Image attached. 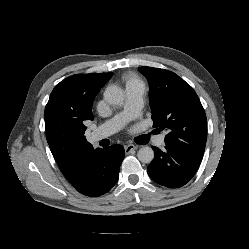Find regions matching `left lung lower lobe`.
<instances>
[{
  "instance_id": "obj_1",
  "label": "left lung lower lobe",
  "mask_w": 249,
  "mask_h": 249,
  "mask_svg": "<svg viewBox=\"0 0 249 249\" xmlns=\"http://www.w3.org/2000/svg\"><path fill=\"white\" fill-rule=\"evenodd\" d=\"M155 158L148 166V174L160 185L177 188L185 185L196 173L202 159L181 149L166 145L164 151L152 147Z\"/></svg>"
}]
</instances>
